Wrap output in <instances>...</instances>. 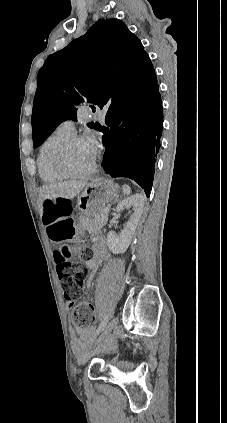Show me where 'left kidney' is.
I'll use <instances>...</instances> for the list:
<instances>
[{"label": "left kidney", "mask_w": 227, "mask_h": 423, "mask_svg": "<svg viewBox=\"0 0 227 423\" xmlns=\"http://www.w3.org/2000/svg\"><path fill=\"white\" fill-rule=\"evenodd\" d=\"M145 198L142 194H135L131 198H126L122 202H118L116 206V211L125 210V208H131L133 206V213L129 217L127 223H125L124 229H121L120 233H115V231H108L107 233V245L110 251L113 253H124L126 251L133 233L140 221V217L143 213Z\"/></svg>", "instance_id": "5707ae66"}]
</instances>
